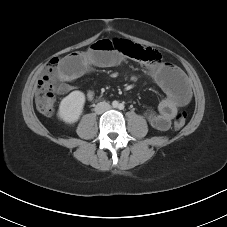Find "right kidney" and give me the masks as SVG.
<instances>
[{
    "label": "right kidney",
    "mask_w": 227,
    "mask_h": 227,
    "mask_svg": "<svg viewBox=\"0 0 227 227\" xmlns=\"http://www.w3.org/2000/svg\"><path fill=\"white\" fill-rule=\"evenodd\" d=\"M85 103V95L81 91H73L62 99L58 117L67 124H73L80 118Z\"/></svg>",
    "instance_id": "right-kidney-1"
}]
</instances>
